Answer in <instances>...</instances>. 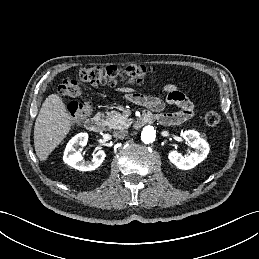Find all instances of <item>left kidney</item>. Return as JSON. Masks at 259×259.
<instances>
[{"mask_svg": "<svg viewBox=\"0 0 259 259\" xmlns=\"http://www.w3.org/2000/svg\"><path fill=\"white\" fill-rule=\"evenodd\" d=\"M183 138L187 144L195 149V152L188 156H183L178 151H171L168 154V159L177 168L182 170H189L201 163L209 153L208 143L200 137V134L195 130H187L183 133Z\"/></svg>", "mask_w": 259, "mask_h": 259, "instance_id": "obj_1", "label": "left kidney"}]
</instances>
